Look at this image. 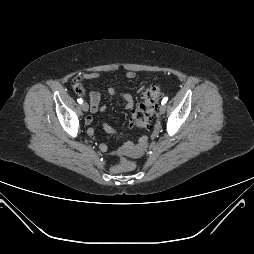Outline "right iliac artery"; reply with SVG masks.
I'll return each mask as SVG.
<instances>
[{
  "label": "right iliac artery",
  "mask_w": 254,
  "mask_h": 254,
  "mask_svg": "<svg viewBox=\"0 0 254 254\" xmlns=\"http://www.w3.org/2000/svg\"><path fill=\"white\" fill-rule=\"evenodd\" d=\"M78 103L82 104L83 103V100L81 98H79L78 100Z\"/></svg>",
  "instance_id": "obj_1"
}]
</instances>
